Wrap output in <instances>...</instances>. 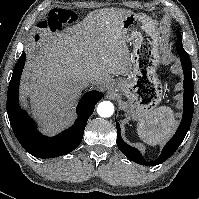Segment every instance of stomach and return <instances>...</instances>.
Segmentation results:
<instances>
[{"label": "stomach", "mask_w": 199, "mask_h": 199, "mask_svg": "<svg viewBox=\"0 0 199 199\" xmlns=\"http://www.w3.org/2000/svg\"><path fill=\"white\" fill-rule=\"evenodd\" d=\"M122 31L126 42L133 45L132 69L127 78L115 82V87L127 98L125 110L134 120H141L163 98V86L156 74L160 63V34L154 21L141 13L126 16Z\"/></svg>", "instance_id": "0dacf381"}]
</instances>
